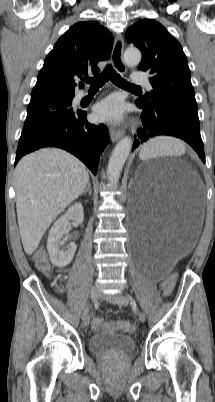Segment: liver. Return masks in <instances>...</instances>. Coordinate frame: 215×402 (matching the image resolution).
I'll return each mask as SVG.
<instances>
[{
  "mask_svg": "<svg viewBox=\"0 0 215 402\" xmlns=\"http://www.w3.org/2000/svg\"><path fill=\"white\" fill-rule=\"evenodd\" d=\"M89 181L85 165L58 148L24 156L15 169L16 211L24 251L33 254L55 218Z\"/></svg>",
  "mask_w": 215,
  "mask_h": 402,
  "instance_id": "6515ba94",
  "label": "liver"
}]
</instances>
